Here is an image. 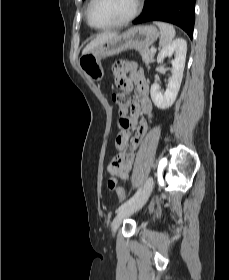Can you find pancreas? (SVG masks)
I'll use <instances>...</instances> for the list:
<instances>
[{"label":"pancreas","instance_id":"obj_1","mask_svg":"<svg viewBox=\"0 0 229 280\" xmlns=\"http://www.w3.org/2000/svg\"><path fill=\"white\" fill-rule=\"evenodd\" d=\"M140 55L142 56V60L146 65L153 60L155 53H151L149 49H138Z\"/></svg>","mask_w":229,"mask_h":280}]
</instances>
